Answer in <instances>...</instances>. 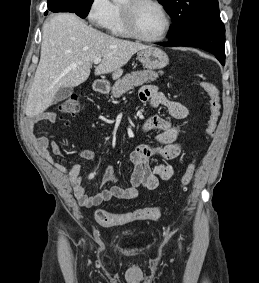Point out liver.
<instances>
[{"instance_id": "1", "label": "liver", "mask_w": 259, "mask_h": 283, "mask_svg": "<svg viewBox=\"0 0 259 283\" xmlns=\"http://www.w3.org/2000/svg\"><path fill=\"white\" fill-rule=\"evenodd\" d=\"M147 47L107 35L74 14L52 15L42 28L40 61L29 92L26 116L42 114L60 88L85 82L95 58L102 59L95 75L112 73L113 78H119L131 57Z\"/></svg>"}]
</instances>
